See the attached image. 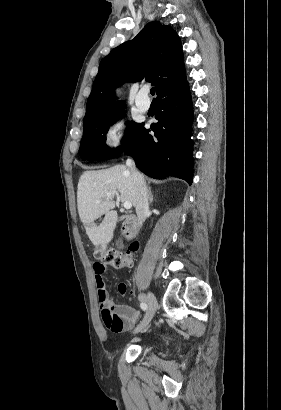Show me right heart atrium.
Here are the masks:
<instances>
[{"label": "right heart atrium", "mask_w": 281, "mask_h": 410, "mask_svg": "<svg viewBox=\"0 0 281 410\" xmlns=\"http://www.w3.org/2000/svg\"><path fill=\"white\" fill-rule=\"evenodd\" d=\"M124 138V122L122 119L112 121L105 132V144L108 148H118Z\"/></svg>", "instance_id": "right-heart-atrium-1"}]
</instances>
